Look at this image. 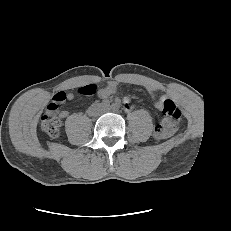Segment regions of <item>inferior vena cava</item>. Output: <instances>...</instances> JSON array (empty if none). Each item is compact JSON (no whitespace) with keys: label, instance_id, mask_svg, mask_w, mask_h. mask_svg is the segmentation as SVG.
I'll use <instances>...</instances> for the list:
<instances>
[{"label":"inferior vena cava","instance_id":"602c4592","mask_svg":"<svg viewBox=\"0 0 231 231\" xmlns=\"http://www.w3.org/2000/svg\"><path fill=\"white\" fill-rule=\"evenodd\" d=\"M104 111L100 104H94L88 109V114L91 116H98Z\"/></svg>","mask_w":231,"mask_h":231}]
</instances>
